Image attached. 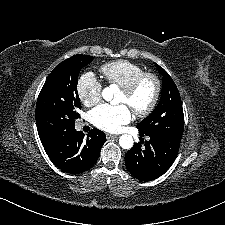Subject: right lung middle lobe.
I'll use <instances>...</instances> for the list:
<instances>
[{
    "label": "right lung middle lobe",
    "mask_w": 225,
    "mask_h": 225,
    "mask_svg": "<svg viewBox=\"0 0 225 225\" xmlns=\"http://www.w3.org/2000/svg\"><path fill=\"white\" fill-rule=\"evenodd\" d=\"M93 60V56L74 55L59 63L47 77L36 103V125L43 143L64 136L75 128L81 109L77 92L81 68Z\"/></svg>",
    "instance_id": "right-lung-middle-lobe-1"
}]
</instances>
